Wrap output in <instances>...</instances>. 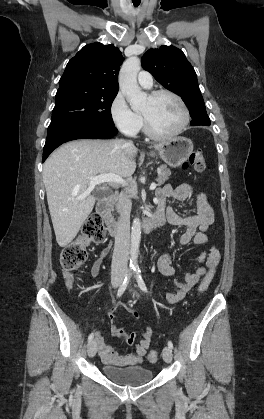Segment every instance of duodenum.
Listing matches in <instances>:
<instances>
[{"mask_svg": "<svg viewBox=\"0 0 264 419\" xmlns=\"http://www.w3.org/2000/svg\"><path fill=\"white\" fill-rule=\"evenodd\" d=\"M115 199L116 196L114 194L106 196L100 200L96 207L98 215L103 219L109 234L112 236H116L119 229V224L112 213V206ZM162 224V219L157 214H154L153 216L142 221L141 226L144 232L151 233L159 228Z\"/></svg>", "mask_w": 264, "mask_h": 419, "instance_id": "410a0bca", "label": "duodenum"}]
</instances>
